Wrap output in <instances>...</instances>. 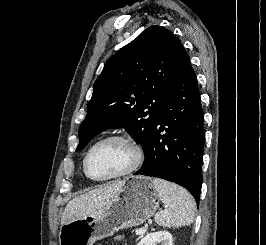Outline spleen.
Instances as JSON below:
<instances>
[{"mask_svg":"<svg viewBox=\"0 0 266 245\" xmlns=\"http://www.w3.org/2000/svg\"><path fill=\"white\" fill-rule=\"evenodd\" d=\"M153 187L166 207L165 211L156 213L154 217L159 227H186L193 223L196 207L188 191L163 179H153Z\"/></svg>","mask_w":266,"mask_h":245,"instance_id":"1","label":"spleen"}]
</instances>
